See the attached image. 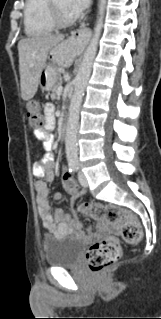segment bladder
<instances>
[{"instance_id": "31cf9c89", "label": "bladder", "mask_w": 161, "mask_h": 319, "mask_svg": "<svg viewBox=\"0 0 161 319\" xmlns=\"http://www.w3.org/2000/svg\"><path fill=\"white\" fill-rule=\"evenodd\" d=\"M84 243L73 237L46 235L43 240L44 263L47 266L74 265L82 256Z\"/></svg>"}]
</instances>
